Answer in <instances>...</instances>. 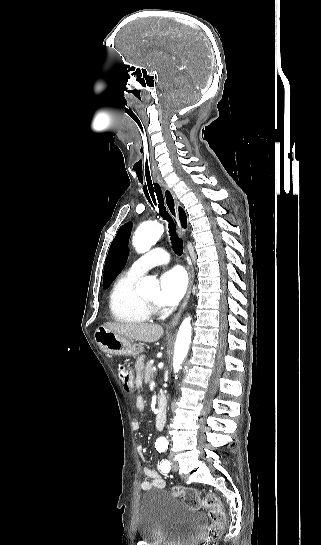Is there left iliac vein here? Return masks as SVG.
<instances>
[{
	"mask_svg": "<svg viewBox=\"0 0 321 545\" xmlns=\"http://www.w3.org/2000/svg\"><path fill=\"white\" fill-rule=\"evenodd\" d=\"M169 459H170V462H171L172 471H174V472L178 471V469H179L178 463L173 459L172 456H170Z\"/></svg>",
	"mask_w": 321,
	"mask_h": 545,
	"instance_id": "left-iliac-vein-1",
	"label": "left iliac vein"
}]
</instances>
